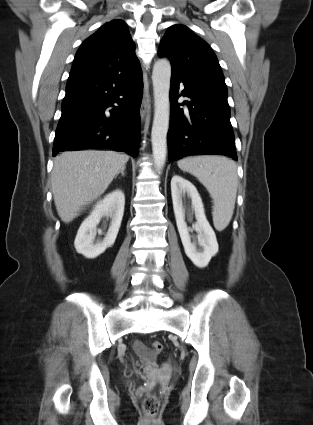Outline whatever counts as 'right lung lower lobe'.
Returning a JSON list of instances; mask_svg holds the SVG:
<instances>
[{"instance_id":"right-lung-lower-lobe-1","label":"right lung lower lobe","mask_w":313,"mask_h":425,"mask_svg":"<svg viewBox=\"0 0 313 425\" xmlns=\"http://www.w3.org/2000/svg\"><path fill=\"white\" fill-rule=\"evenodd\" d=\"M142 88L140 66L129 72L107 69L70 74L53 156L72 149L108 148L136 157Z\"/></svg>"}]
</instances>
